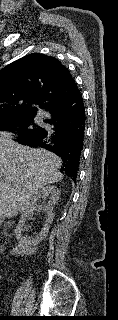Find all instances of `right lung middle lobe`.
Wrapping results in <instances>:
<instances>
[{
	"label": "right lung middle lobe",
	"mask_w": 118,
	"mask_h": 320,
	"mask_svg": "<svg viewBox=\"0 0 118 320\" xmlns=\"http://www.w3.org/2000/svg\"><path fill=\"white\" fill-rule=\"evenodd\" d=\"M33 118L34 117L1 118L0 131L12 132L16 135L17 139L33 135L41 129V127L35 125Z\"/></svg>",
	"instance_id": "right-lung-middle-lobe-1"
}]
</instances>
